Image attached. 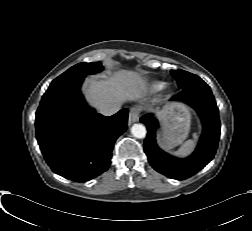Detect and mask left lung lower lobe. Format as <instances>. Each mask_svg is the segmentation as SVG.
I'll list each match as a JSON object with an SVG mask.
<instances>
[{"label": "left lung lower lobe", "instance_id": "obj_1", "mask_svg": "<svg viewBox=\"0 0 252 231\" xmlns=\"http://www.w3.org/2000/svg\"><path fill=\"white\" fill-rule=\"evenodd\" d=\"M172 100L184 101L193 107L203 123V132L194 153L185 159H177L162 151L156 144L158 121L146 114L140 121L147 127L144 151L149 163L159 173L173 179H186L204 168L214 157L220 136L218 108L209 86L182 89Z\"/></svg>", "mask_w": 252, "mask_h": 231}]
</instances>
